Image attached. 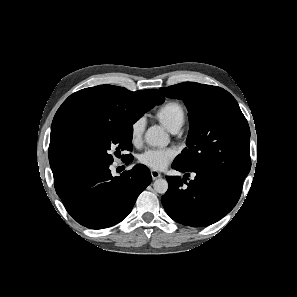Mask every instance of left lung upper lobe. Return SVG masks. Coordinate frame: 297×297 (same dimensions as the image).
<instances>
[{
  "label": "left lung upper lobe",
  "instance_id": "1",
  "mask_svg": "<svg viewBox=\"0 0 297 297\" xmlns=\"http://www.w3.org/2000/svg\"><path fill=\"white\" fill-rule=\"evenodd\" d=\"M160 90L168 98L183 100L188 109L187 147L173 163L242 187L251 168L250 129L235 98L220 87L195 82Z\"/></svg>",
  "mask_w": 297,
  "mask_h": 297
}]
</instances>
